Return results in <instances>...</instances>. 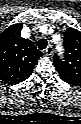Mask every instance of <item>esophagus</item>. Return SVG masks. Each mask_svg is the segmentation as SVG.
I'll use <instances>...</instances> for the list:
<instances>
[{
	"label": "esophagus",
	"instance_id": "esophagus-1",
	"mask_svg": "<svg viewBox=\"0 0 81 124\" xmlns=\"http://www.w3.org/2000/svg\"><path fill=\"white\" fill-rule=\"evenodd\" d=\"M45 54L48 56H51L53 54V48L51 45H49L46 49H45Z\"/></svg>",
	"mask_w": 81,
	"mask_h": 124
}]
</instances>
